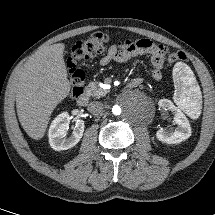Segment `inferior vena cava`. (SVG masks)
I'll return each mask as SVG.
<instances>
[{
  "label": "inferior vena cava",
  "instance_id": "inferior-vena-cava-1",
  "mask_svg": "<svg viewBox=\"0 0 215 215\" xmlns=\"http://www.w3.org/2000/svg\"><path fill=\"white\" fill-rule=\"evenodd\" d=\"M87 110L93 115H99L103 111V104L98 101L90 102L87 106Z\"/></svg>",
  "mask_w": 215,
  "mask_h": 215
}]
</instances>
